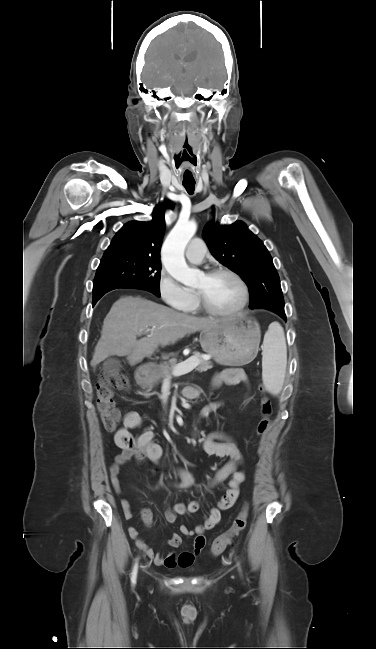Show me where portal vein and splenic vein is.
<instances>
[{"instance_id":"portal-vein-and-splenic-vein-1","label":"portal vein and splenic vein","mask_w":376,"mask_h":649,"mask_svg":"<svg viewBox=\"0 0 376 649\" xmlns=\"http://www.w3.org/2000/svg\"><path fill=\"white\" fill-rule=\"evenodd\" d=\"M153 329L154 328H152L151 330H153ZM149 331L150 330H147L145 333H147ZM209 358L210 357L207 356L204 359L208 360ZM198 364H199V358L196 357V356H192L188 360H186V361L178 364L177 366H175L174 369L172 370V374L175 375V376H180V375L187 374V373L191 372L194 368H196L198 366Z\"/></svg>"}]
</instances>
